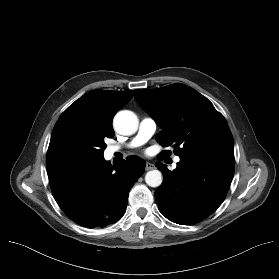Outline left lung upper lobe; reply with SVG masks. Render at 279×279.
<instances>
[{"label": "left lung upper lobe", "mask_w": 279, "mask_h": 279, "mask_svg": "<svg viewBox=\"0 0 279 279\" xmlns=\"http://www.w3.org/2000/svg\"><path fill=\"white\" fill-rule=\"evenodd\" d=\"M137 103L161 127L156 141L174 145V153L234 157V141L224 116L195 89L172 84L153 90H134ZM169 154L163 151L160 156Z\"/></svg>", "instance_id": "5c2ea615"}]
</instances>
